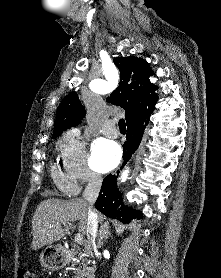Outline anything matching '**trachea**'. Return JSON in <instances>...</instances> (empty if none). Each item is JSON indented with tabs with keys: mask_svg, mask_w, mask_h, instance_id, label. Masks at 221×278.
Here are the masks:
<instances>
[{
	"mask_svg": "<svg viewBox=\"0 0 221 278\" xmlns=\"http://www.w3.org/2000/svg\"><path fill=\"white\" fill-rule=\"evenodd\" d=\"M120 131H126V124L124 119H120L118 122Z\"/></svg>",
	"mask_w": 221,
	"mask_h": 278,
	"instance_id": "1",
	"label": "trachea"
}]
</instances>
